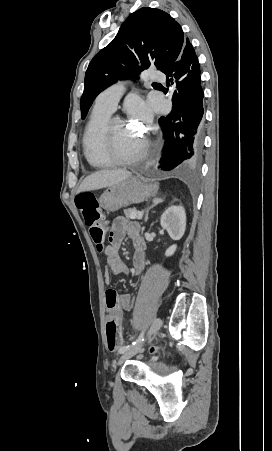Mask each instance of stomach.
Instances as JSON below:
<instances>
[{
  "mask_svg": "<svg viewBox=\"0 0 272 451\" xmlns=\"http://www.w3.org/2000/svg\"><path fill=\"white\" fill-rule=\"evenodd\" d=\"M159 190L158 184H143L142 176H130L118 184L108 186L99 198L101 208L106 212H116L129 204H139L147 198L156 196Z\"/></svg>",
  "mask_w": 272,
  "mask_h": 451,
  "instance_id": "0dacf381",
  "label": "stomach"
}]
</instances>
